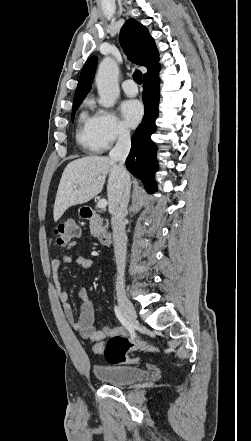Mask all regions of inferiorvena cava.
<instances>
[{"instance_id":"1","label":"inferior vena cava","mask_w":251,"mask_h":441,"mask_svg":"<svg viewBox=\"0 0 251 441\" xmlns=\"http://www.w3.org/2000/svg\"><path fill=\"white\" fill-rule=\"evenodd\" d=\"M131 148L130 132L127 129H120L115 147L110 151L109 157L113 162H118L121 171L120 179L122 185L121 194L117 204L112 211L111 225L113 230L114 252L117 265V293H125L124 273L127 253V236L125 232V217L130 198V176L124 167L125 160Z\"/></svg>"}]
</instances>
